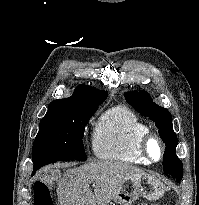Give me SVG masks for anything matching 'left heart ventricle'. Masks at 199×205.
<instances>
[{"label":"left heart ventricle","mask_w":199,"mask_h":205,"mask_svg":"<svg viewBox=\"0 0 199 205\" xmlns=\"http://www.w3.org/2000/svg\"><path fill=\"white\" fill-rule=\"evenodd\" d=\"M151 155L154 159H158L159 157V148L156 146V144H152L151 146Z\"/></svg>","instance_id":"obj_1"}]
</instances>
